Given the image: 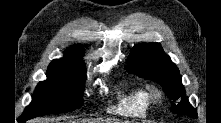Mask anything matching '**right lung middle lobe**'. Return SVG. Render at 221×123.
Instances as JSON below:
<instances>
[{
    "instance_id": "right-lung-middle-lobe-1",
    "label": "right lung middle lobe",
    "mask_w": 221,
    "mask_h": 123,
    "mask_svg": "<svg viewBox=\"0 0 221 123\" xmlns=\"http://www.w3.org/2000/svg\"><path fill=\"white\" fill-rule=\"evenodd\" d=\"M85 72L72 66L50 65L47 80L37 85L32 102L23 116L30 119L79 108L83 104Z\"/></svg>"
}]
</instances>
